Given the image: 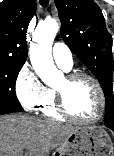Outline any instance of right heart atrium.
Masks as SVG:
<instances>
[{"instance_id":"d8ad5b80","label":"right heart atrium","mask_w":114,"mask_h":156,"mask_svg":"<svg viewBox=\"0 0 114 156\" xmlns=\"http://www.w3.org/2000/svg\"><path fill=\"white\" fill-rule=\"evenodd\" d=\"M14 88L20 104L29 111L38 110L47 98V88L29 65L20 69Z\"/></svg>"}]
</instances>
